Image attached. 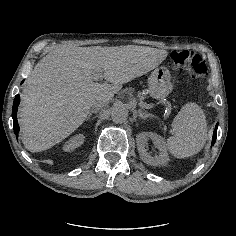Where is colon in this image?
<instances>
[{"mask_svg":"<svg viewBox=\"0 0 236 236\" xmlns=\"http://www.w3.org/2000/svg\"><path fill=\"white\" fill-rule=\"evenodd\" d=\"M170 60L175 68L185 70L191 79H201L207 75L206 62L193 50H174L170 55Z\"/></svg>","mask_w":236,"mask_h":236,"instance_id":"1","label":"colon"}]
</instances>
